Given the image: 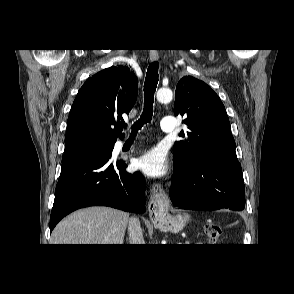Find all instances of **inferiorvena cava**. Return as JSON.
Segmentation results:
<instances>
[{
    "label": "inferior vena cava",
    "mask_w": 294,
    "mask_h": 294,
    "mask_svg": "<svg viewBox=\"0 0 294 294\" xmlns=\"http://www.w3.org/2000/svg\"><path fill=\"white\" fill-rule=\"evenodd\" d=\"M130 244H145L143 231L137 218L131 217L128 222Z\"/></svg>",
    "instance_id": "602c4592"
}]
</instances>
